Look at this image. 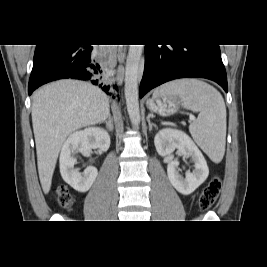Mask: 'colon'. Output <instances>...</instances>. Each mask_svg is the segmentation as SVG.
Returning <instances> with one entry per match:
<instances>
[{
    "mask_svg": "<svg viewBox=\"0 0 267 267\" xmlns=\"http://www.w3.org/2000/svg\"><path fill=\"white\" fill-rule=\"evenodd\" d=\"M221 190V180L218 176H213L203 189L199 197V207L202 211L209 210L219 197ZM56 201L58 205L65 209H70L74 203L73 196L65 186H61L57 191Z\"/></svg>",
    "mask_w": 267,
    "mask_h": 267,
    "instance_id": "1",
    "label": "colon"
}]
</instances>
